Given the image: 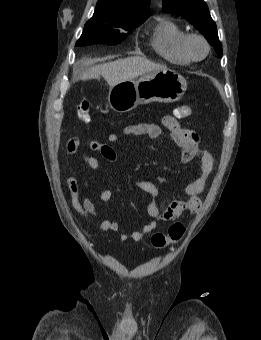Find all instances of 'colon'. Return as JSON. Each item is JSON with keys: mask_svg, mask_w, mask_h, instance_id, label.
<instances>
[{"mask_svg": "<svg viewBox=\"0 0 261 340\" xmlns=\"http://www.w3.org/2000/svg\"><path fill=\"white\" fill-rule=\"evenodd\" d=\"M78 115L83 123L88 124L91 120L90 103L83 100L78 105ZM192 114L189 106H179L174 110L177 118H186ZM185 234V226L182 223L172 224L166 233H155L151 236V244L157 249H164L180 241Z\"/></svg>", "mask_w": 261, "mask_h": 340, "instance_id": "obj_1", "label": "colon"}]
</instances>
